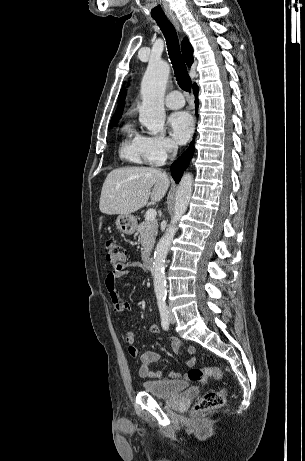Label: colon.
Returning a JSON list of instances; mask_svg holds the SVG:
<instances>
[{"label":"colon","instance_id":"colon-1","mask_svg":"<svg viewBox=\"0 0 305 461\" xmlns=\"http://www.w3.org/2000/svg\"><path fill=\"white\" fill-rule=\"evenodd\" d=\"M105 251L107 261L116 269L124 266L127 253L125 248L117 241L108 240L105 242ZM188 380L191 382H204L209 378L221 380L225 377L224 372L213 366H205L202 368H192L187 374ZM226 389L219 388L207 391L195 404L194 413L206 412L209 410L221 408L226 401Z\"/></svg>","mask_w":305,"mask_h":461}]
</instances>
